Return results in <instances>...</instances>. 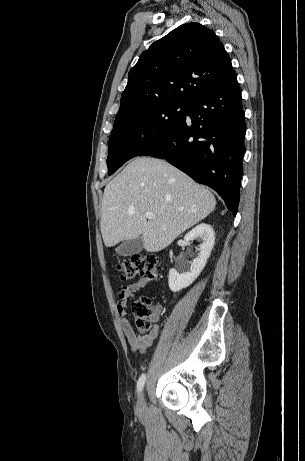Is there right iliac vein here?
I'll use <instances>...</instances> for the list:
<instances>
[{"mask_svg": "<svg viewBox=\"0 0 305 461\" xmlns=\"http://www.w3.org/2000/svg\"><path fill=\"white\" fill-rule=\"evenodd\" d=\"M137 406H138V409H139L140 411L143 410V408H144V396H143V393H141L140 396H139V398H138Z\"/></svg>", "mask_w": 305, "mask_h": 461, "instance_id": "1", "label": "right iliac vein"}]
</instances>
